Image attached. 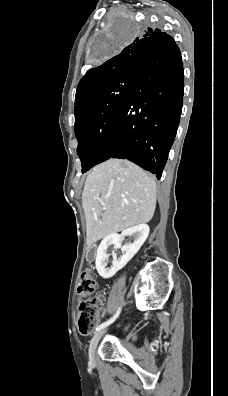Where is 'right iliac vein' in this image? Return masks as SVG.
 <instances>
[{"label":"right iliac vein","instance_id":"obj_1","mask_svg":"<svg viewBox=\"0 0 228 396\" xmlns=\"http://www.w3.org/2000/svg\"><path fill=\"white\" fill-rule=\"evenodd\" d=\"M106 333V329L104 330H100L99 332H97L93 338L90 341V345H89V359L91 362L95 361V350L96 347L99 343V341L101 340V338L103 337V335Z\"/></svg>","mask_w":228,"mask_h":396}]
</instances>
